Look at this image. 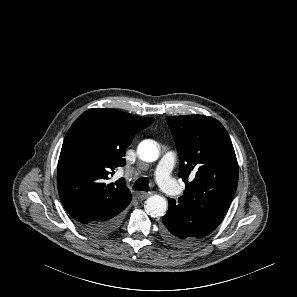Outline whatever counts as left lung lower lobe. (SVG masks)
<instances>
[{
	"label": "left lung lower lobe",
	"instance_id": "0a47b994",
	"mask_svg": "<svg viewBox=\"0 0 297 297\" xmlns=\"http://www.w3.org/2000/svg\"><path fill=\"white\" fill-rule=\"evenodd\" d=\"M169 209L162 221L164 226L162 227L163 238L170 244L175 246H189L194 244L197 239L190 236L186 229L187 214L180 203L174 199L169 198Z\"/></svg>",
	"mask_w": 297,
	"mask_h": 297
}]
</instances>
